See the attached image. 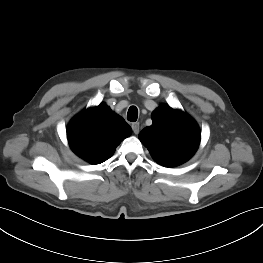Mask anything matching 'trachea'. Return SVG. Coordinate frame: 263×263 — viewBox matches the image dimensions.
Here are the masks:
<instances>
[{"instance_id": "1", "label": "trachea", "mask_w": 263, "mask_h": 263, "mask_svg": "<svg viewBox=\"0 0 263 263\" xmlns=\"http://www.w3.org/2000/svg\"><path fill=\"white\" fill-rule=\"evenodd\" d=\"M138 118V109L135 106H131L127 113V119L131 122L137 121Z\"/></svg>"}]
</instances>
